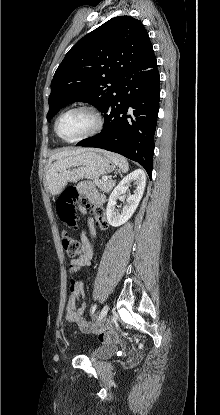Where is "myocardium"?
Returning <instances> with one entry per match:
<instances>
[{"mask_svg": "<svg viewBox=\"0 0 220 415\" xmlns=\"http://www.w3.org/2000/svg\"><path fill=\"white\" fill-rule=\"evenodd\" d=\"M73 111H87V112L91 113L94 116L95 125L89 132L85 133L84 135H82L80 137H77L75 139H69L68 140V139H64V138L60 137V135L58 134V131H57V126H58V123H59L60 119L65 114L73 112ZM103 126H104L103 115H102V113H101V111L99 110L98 107H96L95 105H92V104H78V105L72 106V107L64 110L63 112H61L58 115V117L56 118V120L54 122V132H55L56 136L59 139H61L62 141L67 142V143H76V142H79V141H82L84 139H87V138H90V137H93V136L97 135L98 133H100L102 131Z\"/></svg>", "mask_w": 220, "mask_h": 415, "instance_id": "f54148a6", "label": "myocardium"}]
</instances>
